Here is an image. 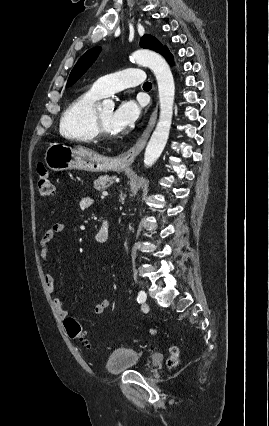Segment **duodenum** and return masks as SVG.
<instances>
[{
  "mask_svg": "<svg viewBox=\"0 0 269 426\" xmlns=\"http://www.w3.org/2000/svg\"><path fill=\"white\" fill-rule=\"evenodd\" d=\"M111 234V225L110 222L106 219L102 221L101 227L96 234V240L99 243H105L110 238Z\"/></svg>",
  "mask_w": 269,
  "mask_h": 426,
  "instance_id": "obj_1",
  "label": "duodenum"
}]
</instances>
